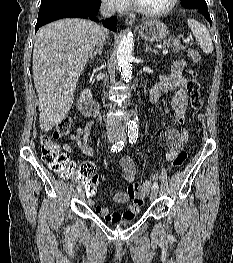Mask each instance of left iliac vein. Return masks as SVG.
<instances>
[{
  "mask_svg": "<svg viewBox=\"0 0 233 263\" xmlns=\"http://www.w3.org/2000/svg\"><path fill=\"white\" fill-rule=\"evenodd\" d=\"M122 139H125V137L123 136ZM157 196H158V191L157 189L153 188L150 193V200L154 201L157 198Z\"/></svg>",
  "mask_w": 233,
  "mask_h": 263,
  "instance_id": "left-iliac-vein-1",
  "label": "left iliac vein"
}]
</instances>
